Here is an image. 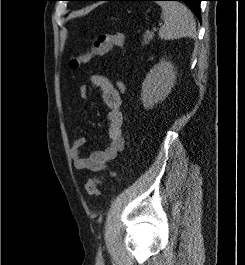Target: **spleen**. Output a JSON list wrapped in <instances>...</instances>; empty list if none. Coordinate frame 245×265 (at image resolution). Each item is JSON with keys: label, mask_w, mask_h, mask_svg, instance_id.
<instances>
[{"label": "spleen", "mask_w": 245, "mask_h": 265, "mask_svg": "<svg viewBox=\"0 0 245 265\" xmlns=\"http://www.w3.org/2000/svg\"><path fill=\"white\" fill-rule=\"evenodd\" d=\"M162 8L164 25L159 30V37L174 40L182 37H194L196 23L192 12L182 3L175 1H159Z\"/></svg>", "instance_id": "1"}]
</instances>
